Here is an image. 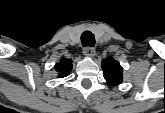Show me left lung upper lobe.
Segmentation results:
<instances>
[{
	"instance_id": "1",
	"label": "left lung upper lobe",
	"mask_w": 165,
	"mask_h": 113,
	"mask_svg": "<svg viewBox=\"0 0 165 113\" xmlns=\"http://www.w3.org/2000/svg\"><path fill=\"white\" fill-rule=\"evenodd\" d=\"M102 69L104 70V78L110 85L114 86L122 82V67L113 58L104 59Z\"/></svg>"
}]
</instances>
